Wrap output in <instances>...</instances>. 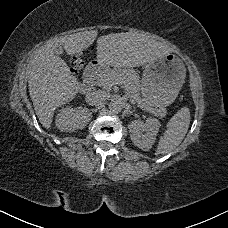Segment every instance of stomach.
Listing matches in <instances>:
<instances>
[{"label":"stomach","instance_id":"0dacf381","mask_svg":"<svg viewBox=\"0 0 228 228\" xmlns=\"http://www.w3.org/2000/svg\"><path fill=\"white\" fill-rule=\"evenodd\" d=\"M185 73L182 60L172 53L146 64L140 80V101L154 109L169 107L177 99Z\"/></svg>","mask_w":228,"mask_h":228}]
</instances>
